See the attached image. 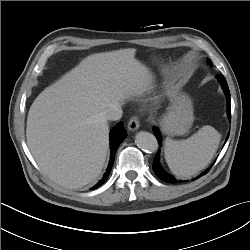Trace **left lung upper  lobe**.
Returning a JSON list of instances; mask_svg holds the SVG:
<instances>
[{
    "mask_svg": "<svg viewBox=\"0 0 250 250\" xmlns=\"http://www.w3.org/2000/svg\"><path fill=\"white\" fill-rule=\"evenodd\" d=\"M208 63L211 64V60L210 59H208Z\"/></svg>",
    "mask_w": 250,
    "mask_h": 250,
    "instance_id": "1",
    "label": "left lung upper lobe"
}]
</instances>
